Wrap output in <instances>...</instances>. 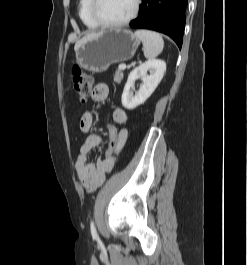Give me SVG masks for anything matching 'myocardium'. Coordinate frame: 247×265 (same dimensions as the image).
I'll return each mask as SVG.
<instances>
[{
	"instance_id": "1",
	"label": "myocardium",
	"mask_w": 247,
	"mask_h": 265,
	"mask_svg": "<svg viewBox=\"0 0 247 265\" xmlns=\"http://www.w3.org/2000/svg\"><path fill=\"white\" fill-rule=\"evenodd\" d=\"M98 2H99V0H91V2H90L91 17L98 26H100L102 28H110L111 29V28L123 27V26H126L129 23H131L139 14L142 0H135L134 8H133L131 14L127 18L120 20V21H117V22H107V21H104L99 16V14L97 12Z\"/></svg>"
}]
</instances>
